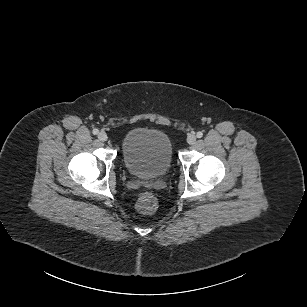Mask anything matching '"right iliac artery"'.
<instances>
[{"instance_id": "right-iliac-artery-1", "label": "right iliac artery", "mask_w": 307, "mask_h": 307, "mask_svg": "<svg viewBox=\"0 0 307 307\" xmlns=\"http://www.w3.org/2000/svg\"><path fill=\"white\" fill-rule=\"evenodd\" d=\"M99 133L98 129H93V134L97 135Z\"/></svg>"}]
</instances>
